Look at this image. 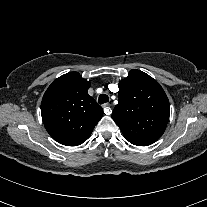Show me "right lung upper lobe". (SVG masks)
<instances>
[{
    "instance_id": "right-lung-upper-lobe-1",
    "label": "right lung upper lobe",
    "mask_w": 207,
    "mask_h": 207,
    "mask_svg": "<svg viewBox=\"0 0 207 207\" xmlns=\"http://www.w3.org/2000/svg\"><path fill=\"white\" fill-rule=\"evenodd\" d=\"M91 83L78 72L57 78L46 90L41 115L53 139L67 146L85 142L101 119L103 110L88 94Z\"/></svg>"
}]
</instances>
